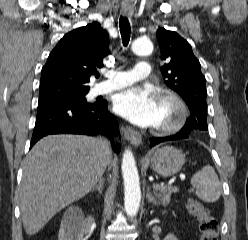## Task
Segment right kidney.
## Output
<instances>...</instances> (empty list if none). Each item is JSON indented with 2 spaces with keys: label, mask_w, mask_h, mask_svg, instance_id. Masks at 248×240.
<instances>
[{
  "label": "right kidney",
  "mask_w": 248,
  "mask_h": 240,
  "mask_svg": "<svg viewBox=\"0 0 248 240\" xmlns=\"http://www.w3.org/2000/svg\"><path fill=\"white\" fill-rule=\"evenodd\" d=\"M86 228L82 223L63 219L60 225L58 240H85Z\"/></svg>",
  "instance_id": "ca27d5eb"
}]
</instances>
